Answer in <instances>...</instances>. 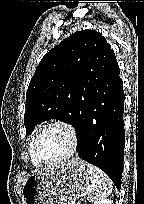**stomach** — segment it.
I'll list each match as a JSON object with an SVG mask.
<instances>
[{
	"label": "stomach",
	"mask_w": 144,
	"mask_h": 204,
	"mask_svg": "<svg viewBox=\"0 0 144 204\" xmlns=\"http://www.w3.org/2000/svg\"><path fill=\"white\" fill-rule=\"evenodd\" d=\"M89 164L74 159L29 175L22 186L23 204H66L90 182Z\"/></svg>",
	"instance_id": "1"
}]
</instances>
